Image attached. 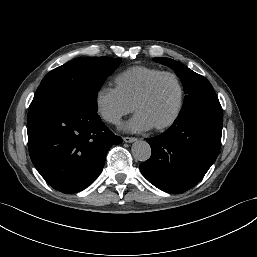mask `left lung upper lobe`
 <instances>
[{
    "label": "left lung upper lobe",
    "mask_w": 257,
    "mask_h": 257,
    "mask_svg": "<svg viewBox=\"0 0 257 257\" xmlns=\"http://www.w3.org/2000/svg\"><path fill=\"white\" fill-rule=\"evenodd\" d=\"M153 60L174 69L176 75L181 78L186 97L179 116L204 104L218 100L212 85L205 77L170 58L156 57Z\"/></svg>",
    "instance_id": "left-lung-upper-lobe-1"
}]
</instances>
